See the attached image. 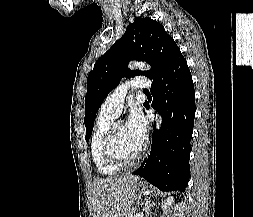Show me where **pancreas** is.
Instances as JSON below:
<instances>
[{"mask_svg": "<svg viewBox=\"0 0 253 217\" xmlns=\"http://www.w3.org/2000/svg\"><path fill=\"white\" fill-rule=\"evenodd\" d=\"M133 212H134V211H129L128 213H126V214H125V216H124V217H130V215H132V216H133Z\"/></svg>", "mask_w": 253, "mask_h": 217, "instance_id": "1", "label": "pancreas"}]
</instances>
